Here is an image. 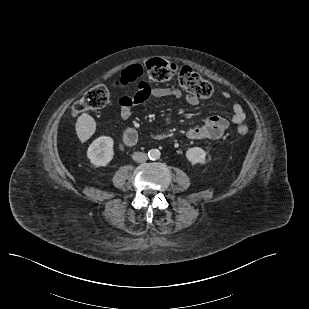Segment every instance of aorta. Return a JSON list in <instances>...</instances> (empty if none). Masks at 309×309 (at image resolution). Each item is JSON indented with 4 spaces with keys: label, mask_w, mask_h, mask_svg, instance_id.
Returning a JSON list of instances; mask_svg holds the SVG:
<instances>
[{
    "label": "aorta",
    "mask_w": 309,
    "mask_h": 309,
    "mask_svg": "<svg viewBox=\"0 0 309 309\" xmlns=\"http://www.w3.org/2000/svg\"><path fill=\"white\" fill-rule=\"evenodd\" d=\"M148 156L151 160H158L161 156V152L158 149H151L148 152Z\"/></svg>",
    "instance_id": "obj_1"
}]
</instances>
